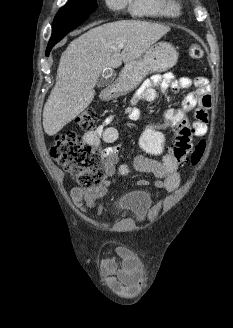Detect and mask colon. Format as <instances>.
Instances as JSON below:
<instances>
[{"label":"colon","instance_id":"5ec220e1","mask_svg":"<svg viewBox=\"0 0 233 328\" xmlns=\"http://www.w3.org/2000/svg\"><path fill=\"white\" fill-rule=\"evenodd\" d=\"M188 55L192 59H199L203 55V50L199 44L192 43L188 47ZM96 118L97 112L90 108L81 112L75 123L77 128L90 131ZM164 126L174 133L171 145L167 147L162 132L155 126H150L141 135V149L149 155H158L166 151L179 165L189 159L193 165H197L205 151L206 142L202 140L193 148V130L185 111L169 109L164 115ZM50 154L58 165L76 177L82 188L92 189L103 183L105 168L99 150L85 142L76 132L57 134Z\"/></svg>","mask_w":233,"mask_h":328}]
</instances>
